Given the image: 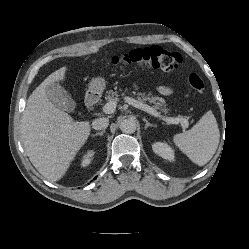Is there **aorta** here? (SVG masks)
<instances>
[{"instance_id": "obj_1", "label": "aorta", "mask_w": 249, "mask_h": 249, "mask_svg": "<svg viewBox=\"0 0 249 249\" xmlns=\"http://www.w3.org/2000/svg\"><path fill=\"white\" fill-rule=\"evenodd\" d=\"M120 130L127 134L134 133L136 131V122L133 119H125L120 123Z\"/></svg>"}]
</instances>
